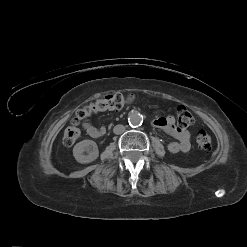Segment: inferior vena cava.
Here are the masks:
<instances>
[{
    "label": "inferior vena cava",
    "instance_id": "1",
    "mask_svg": "<svg viewBox=\"0 0 247 247\" xmlns=\"http://www.w3.org/2000/svg\"><path fill=\"white\" fill-rule=\"evenodd\" d=\"M126 130L125 126L123 125H116L113 129V132L117 135H120L122 133H124Z\"/></svg>",
    "mask_w": 247,
    "mask_h": 247
}]
</instances>
